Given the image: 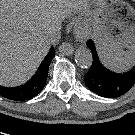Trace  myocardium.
<instances>
[{
  "label": "myocardium",
  "instance_id": "myocardium-1",
  "mask_svg": "<svg viewBox=\"0 0 135 135\" xmlns=\"http://www.w3.org/2000/svg\"><path fill=\"white\" fill-rule=\"evenodd\" d=\"M92 29V24L90 22H83L79 24L76 28V34L79 37H87Z\"/></svg>",
  "mask_w": 135,
  "mask_h": 135
}]
</instances>
